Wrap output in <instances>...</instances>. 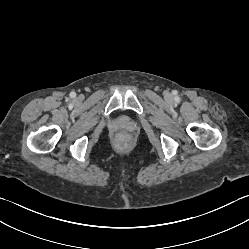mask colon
I'll list each match as a JSON object with an SVG mask.
<instances>
[{
	"instance_id": "colon-1",
	"label": "colon",
	"mask_w": 249,
	"mask_h": 249,
	"mask_svg": "<svg viewBox=\"0 0 249 249\" xmlns=\"http://www.w3.org/2000/svg\"><path fill=\"white\" fill-rule=\"evenodd\" d=\"M124 140H129L127 137H123L122 139H121V142H123Z\"/></svg>"
}]
</instances>
